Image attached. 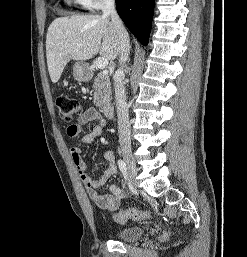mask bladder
Instances as JSON below:
<instances>
[{"mask_svg":"<svg viewBox=\"0 0 247 257\" xmlns=\"http://www.w3.org/2000/svg\"><path fill=\"white\" fill-rule=\"evenodd\" d=\"M145 233V229L140 226H130L115 231L114 237L123 242H133L140 239Z\"/></svg>","mask_w":247,"mask_h":257,"instance_id":"31cf9c89","label":"bladder"}]
</instances>
